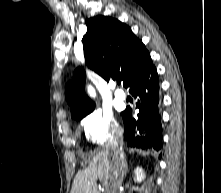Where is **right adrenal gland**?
I'll return each mask as SVG.
<instances>
[{"label": "right adrenal gland", "instance_id": "right-adrenal-gland-1", "mask_svg": "<svg viewBox=\"0 0 221 193\" xmlns=\"http://www.w3.org/2000/svg\"><path fill=\"white\" fill-rule=\"evenodd\" d=\"M127 172H128V166H126L125 175L127 174Z\"/></svg>", "mask_w": 221, "mask_h": 193}]
</instances>
